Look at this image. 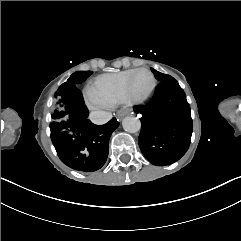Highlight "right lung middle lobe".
Returning <instances> with one entry per match:
<instances>
[{"label": "right lung middle lobe", "mask_w": 241, "mask_h": 241, "mask_svg": "<svg viewBox=\"0 0 241 241\" xmlns=\"http://www.w3.org/2000/svg\"><path fill=\"white\" fill-rule=\"evenodd\" d=\"M92 71H77L71 75L66 83H63L55 92L52 100V122L67 120L70 110L68 104L67 90L69 87H77L78 84L85 81Z\"/></svg>", "instance_id": "right-lung-middle-lobe-1"}]
</instances>
